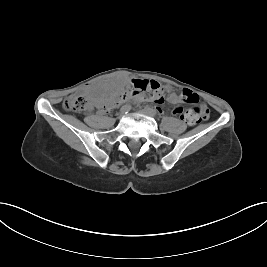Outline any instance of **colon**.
Instances as JSON below:
<instances>
[{
    "mask_svg": "<svg viewBox=\"0 0 267 267\" xmlns=\"http://www.w3.org/2000/svg\"><path fill=\"white\" fill-rule=\"evenodd\" d=\"M166 92V89L158 82L136 79L131 81L125 90L112 97L105 105V108L110 111L118 101L134 99L140 95L145 97L143 99L160 103L164 100ZM181 95L183 102L194 105V109L189 110L188 115L194 116L197 120L208 119L209 109L196 93L189 89H184ZM63 106L67 111L83 112L89 109L90 101L85 95L74 93L64 100ZM173 113L180 118L185 116L183 110L179 107L175 108Z\"/></svg>",
    "mask_w": 267,
    "mask_h": 267,
    "instance_id": "1",
    "label": "colon"
}]
</instances>
